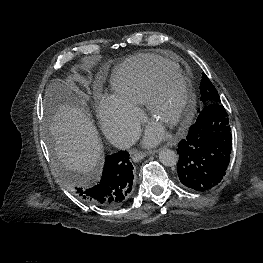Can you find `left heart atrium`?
<instances>
[{"label": "left heart atrium", "mask_w": 263, "mask_h": 263, "mask_svg": "<svg viewBox=\"0 0 263 263\" xmlns=\"http://www.w3.org/2000/svg\"><path fill=\"white\" fill-rule=\"evenodd\" d=\"M163 137L164 132L162 129L158 125L151 124L146 131L145 143L153 145L161 141Z\"/></svg>", "instance_id": "obj_1"}]
</instances>
